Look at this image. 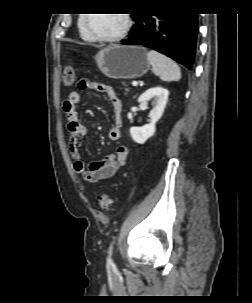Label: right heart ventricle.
<instances>
[{"mask_svg": "<svg viewBox=\"0 0 252 303\" xmlns=\"http://www.w3.org/2000/svg\"><path fill=\"white\" fill-rule=\"evenodd\" d=\"M78 25H79V28L81 30L82 35H85L84 32H83V29H82V21L81 20H79Z\"/></svg>", "mask_w": 252, "mask_h": 303, "instance_id": "e07e8e85", "label": "right heart ventricle"}]
</instances>
